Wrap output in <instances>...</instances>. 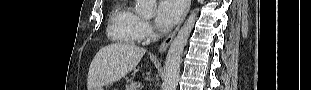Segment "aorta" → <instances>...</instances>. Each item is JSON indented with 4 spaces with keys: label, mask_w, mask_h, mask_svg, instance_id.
I'll return each mask as SVG.
<instances>
[{
    "label": "aorta",
    "mask_w": 311,
    "mask_h": 90,
    "mask_svg": "<svg viewBox=\"0 0 311 90\" xmlns=\"http://www.w3.org/2000/svg\"><path fill=\"white\" fill-rule=\"evenodd\" d=\"M156 2V0H136L135 10L139 15L150 18L153 14V8ZM196 17L197 12L194 10L170 45L165 61V78L162 84V90L177 89L182 53L194 27Z\"/></svg>",
    "instance_id": "1"
}]
</instances>
